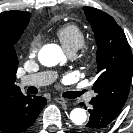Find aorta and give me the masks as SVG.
<instances>
[{
	"label": "aorta",
	"mask_w": 133,
	"mask_h": 133,
	"mask_svg": "<svg viewBox=\"0 0 133 133\" xmlns=\"http://www.w3.org/2000/svg\"><path fill=\"white\" fill-rule=\"evenodd\" d=\"M38 59L44 66H55L64 59L61 48L56 44H48L39 51ZM70 120L75 125H82L87 120V114L82 108H74L70 113Z\"/></svg>",
	"instance_id": "762f6f07"
}]
</instances>
